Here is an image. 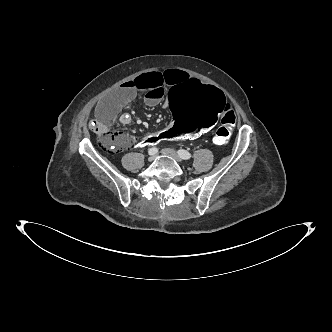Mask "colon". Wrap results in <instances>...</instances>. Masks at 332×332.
Listing matches in <instances>:
<instances>
[{
    "mask_svg": "<svg viewBox=\"0 0 332 332\" xmlns=\"http://www.w3.org/2000/svg\"><path fill=\"white\" fill-rule=\"evenodd\" d=\"M168 119L171 127L154 134H137L135 143L143 147L161 144L162 141H180L195 139L204 135L218 121L213 142L217 146L225 145L236 123L234 111L226 105L225 94L213 85L188 82L173 87L168 94ZM97 133L99 144L110 153H117L123 147L122 139L113 131L97 121L91 123Z\"/></svg>",
    "mask_w": 332,
    "mask_h": 332,
    "instance_id": "obj_1",
    "label": "colon"
}]
</instances>
